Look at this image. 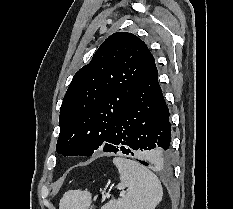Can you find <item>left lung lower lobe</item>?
Returning <instances> with one entry per match:
<instances>
[{
    "instance_id": "0a47b994",
    "label": "left lung lower lobe",
    "mask_w": 233,
    "mask_h": 209,
    "mask_svg": "<svg viewBox=\"0 0 233 209\" xmlns=\"http://www.w3.org/2000/svg\"><path fill=\"white\" fill-rule=\"evenodd\" d=\"M171 138L169 110L158 83L155 61L138 82L128 103L111 125L102 148L104 152L131 154L144 152L145 166H160L168 161Z\"/></svg>"
}]
</instances>
